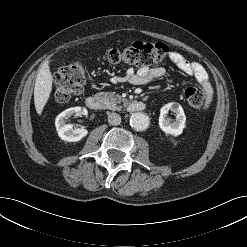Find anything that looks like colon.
<instances>
[{
	"label": "colon",
	"instance_id": "obj_1",
	"mask_svg": "<svg viewBox=\"0 0 247 247\" xmlns=\"http://www.w3.org/2000/svg\"><path fill=\"white\" fill-rule=\"evenodd\" d=\"M169 47L163 43L135 42L123 49H111L102 54L110 64H130L149 66L160 63L167 57ZM86 84V71L79 62L60 67L54 77V97L59 103L66 102L83 92ZM185 99L192 109H199L204 103V93L199 87L185 90Z\"/></svg>",
	"mask_w": 247,
	"mask_h": 247
}]
</instances>
